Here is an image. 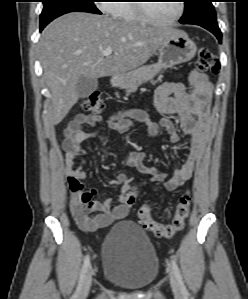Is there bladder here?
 Returning a JSON list of instances; mask_svg holds the SVG:
<instances>
[{"instance_id":"bladder-1","label":"bladder","mask_w":248,"mask_h":299,"mask_svg":"<svg viewBox=\"0 0 248 299\" xmlns=\"http://www.w3.org/2000/svg\"><path fill=\"white\" fill-rule=\"evenodd\" d=\"M104 276L114 286L139 291L156 278L159 262L154 244L136 223L113 226L104 241Z\"/></svg>"}]
</instances>
